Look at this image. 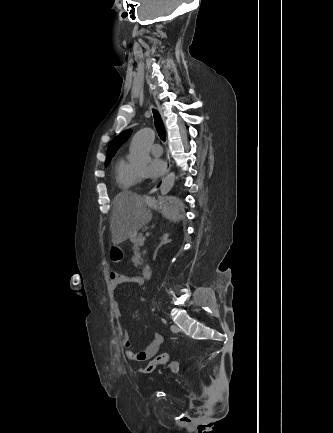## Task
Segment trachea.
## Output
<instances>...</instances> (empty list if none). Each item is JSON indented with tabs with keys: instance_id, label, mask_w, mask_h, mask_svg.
I'll return each instance as SVG.
<instances>
[{
	"instance_id": "3493384b",
	"label": "trachea",
	"mask_w": 333,
	"mask_h": 433,
	"mask_svg": "<svg viewBox=\"0 0 333 433\" xmlns=\"http://www.w3.org/2000/svg\"><path fill=\"white\" fill-rule=\"evenodd\" d=\"M153 115H154V123H155L156 130L158 132V135L163 141H165L166 140V131H165V127H164L163 121L161 119V116L156 109H153Z\"/></svg>"
}]
</instances>
